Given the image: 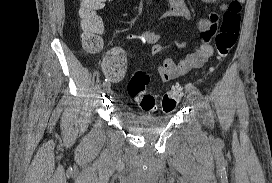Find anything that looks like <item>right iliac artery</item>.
Here are the masks:
<instances>
[{"mask_svg":"<svg viewBox=\"0 0 272 183\" xmlns=\"http://www.w3.org/2000/svg\"><path fill=\"white\" fill-rule=\"evenodd\" d=\"M108 84H110L109 80H108V79H105L104 82H103V86H106V85H108Z\"/></svg>","mask_w":272,"mask_h":183,"instance_id":"82829eb1","label":"right iliac artery"}]
</instances>
